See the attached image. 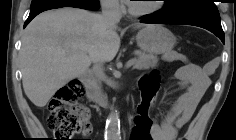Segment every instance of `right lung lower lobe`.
<instances>
[{"label": "right lung lower lobe", "instance_id": "1", "mask_svg": "<svg viewBox=\"0 0 236 140\" xmlns=\"http://www.w3.org/2000/svg\"><path fill=\"white\" fill-rule=\"evenodd\" d=\"M61 7H75V8H82V9H89L83 5H79V4H74V3H62V4H56V5H51V6H46V7H41V8H37L34 10H30V14L28 19L26 20L24 27H26L29 22L35 17L37 16L39 13L46 11V10H50V9H56V8H61ZM92 10V9H91Z\"/></svg>", "mask_w": 236, "mask_h": 140}]
</instances>
